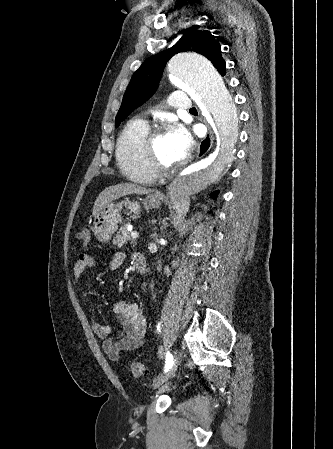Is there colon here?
I'll return each instance as SVG.
<instances>
[{
  "mask_svg": "<svg viewBox=\"0 0 333 449\" xmlns=\"http://www.w3.org/2000/svg\"><path fill=\"white\" fill-rule=\"evenodd\" d=\"M78 241L83 247H87L90 244V232L88 229H83L79 232ZM131 370L134 376L140 377L144 374V367L141 363L135 362L131 365Z\"/></svg>",
  "mask_w": 333,
  "mask_h": 449,
  "instance_id": "colon-1",
  "label": "colon"
}]
</instances>
